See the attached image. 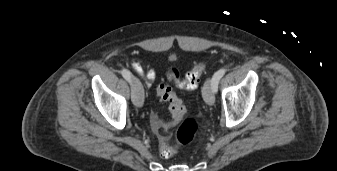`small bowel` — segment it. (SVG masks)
I'll return each instance as SVG.
<instances>
[{
	"label": "small bowel",
	"instance_id": "obj_1",
	"mask_svg": "<svg viewBox=\"0 0 337 171\" xmlns=\"http://www.w3.org/2000/svg\"><path fill=\"white\" fill-rule=\"evenodd\" d=\"M131 66L134 71L140 76L145 77L146 85L151 86L153 81L156 78V72L153 68L145 67L139 60L133 59L131 62Z\"/></svg>",
	"mask_w": 337,
	"mask_h": 171
}]
</instances>
